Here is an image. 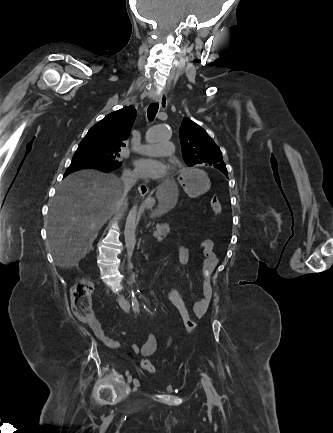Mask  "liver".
<instances>
[{
	"label": "liver",
	"mask_w": 333,
	"mask_h": 433,
	"mask_svg": "<svg viewBox=\"0 0 333 433\" xmlns=\"http://www.w3.org/2000/svg\"><path fill=\"white\" fill-rule=\"evenodd\" d=\"M158 205L150 218L167 213L177 201L176 183H159ZM123 184L113 174L95 169L77 171L59 185L49 204L48 244L56 265L77 267L87 254L99 229L119 210L125 209Z\"/></svg>",
	"instance_id": "6515ba94"
}]
</instances>
